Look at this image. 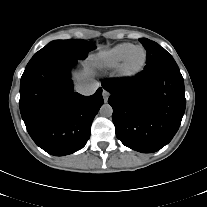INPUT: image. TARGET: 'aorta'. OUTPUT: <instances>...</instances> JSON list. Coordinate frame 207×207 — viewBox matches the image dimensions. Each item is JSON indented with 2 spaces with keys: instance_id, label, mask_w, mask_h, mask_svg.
Returning a JSON list of instances; mask_svg holds the SVG:
<instances>
[{
  "instance_id": "obj_1",
  "label": "aorta",
  "mask_w": 207,
  "mask_h": 207,
  "mask_svg": "<svg viewBox=\"0 0 207 207\" xmlns=\"http://www.w3.org/2000/svg\"><path fill=\"white\" fill-rule=\"evenodd\" d=\"M103 117H110L113 113V108L109 104H103L99 110Z\"/></svg>"
}]
</instances>
